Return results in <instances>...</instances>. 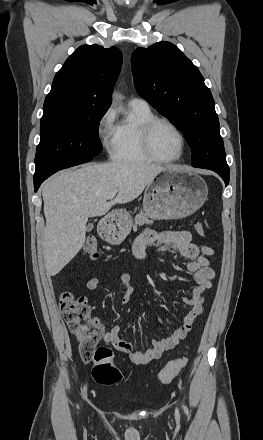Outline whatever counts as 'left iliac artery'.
<instances>
[{"mask_svg": "<svg viewBox=\"0 0 263 440\" xmlns=\"http://www.w3.org/2000/svg\"><path fill=\"white\" fill-rule=\"evenodd\" d=\"M183 409H184V411H187V408H186V406H184V405H183Z\"/></svg>", "mask_w": 263, "mask_h": 440, "instance_id": "obj_1", "label": "left iliac artery"}]
</instances>
